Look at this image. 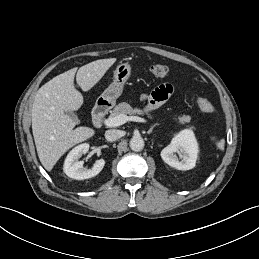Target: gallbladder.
<instances>
[{
    "label": "gallbladder",
    "mask_w": 259,
    "mask_h": 259,
    "mask_svg": "<svg viewBox=\"0 0 259 259\" xmlns=\"http://www.w3.org/2000/svg\"><path fill=\"white\" fill-rule=\"evenodd\" d=\"M67 114H68V116H69L70 118H72L76 123H79V122H80L79 119H78V117H77V115H76L75 113H73V112H67Z\"/></svg>",
    "instance_id": "bac80fb5"
}]
</instances>
